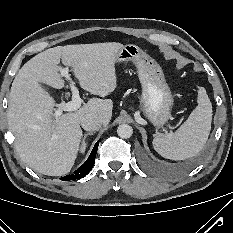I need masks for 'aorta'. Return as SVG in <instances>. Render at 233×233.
<instances>
[{
	"instance_id": "762f6f07",
	"label": "aorta",
	"mask_w": 233,
	"mask_h": 233,
	"mask_svg": "<svg viewBox=\"0 0 233 233\" xmlns=\"http://www.w3.org/2000/svg\"><path fill=\"white\" fill-rule=\"evenodd\" d=\"M117 133L119 137L123 139L130 138L133 134V129L130 125L128 124H121L117 128Z\"/></svg>"
}]
</instances>
